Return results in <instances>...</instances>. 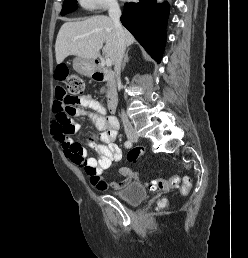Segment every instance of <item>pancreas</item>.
Segmentation results:
<instances>
[{
	"mask_svg": "<svg viewBox=\"0 0 248 258\" xmlns=\"http://www.w3.org/2000/svg\"><path fill=\"white\" fill-rule=\"evenodd\" d=\"M107 86H108V87H111L110 83H107Z\"/></svg>",
	"mask_w": 248,
	"mask_h": 258,
	"instance_id": "pancreas-1",
	"label": "pancreas"
}]
</instances>
